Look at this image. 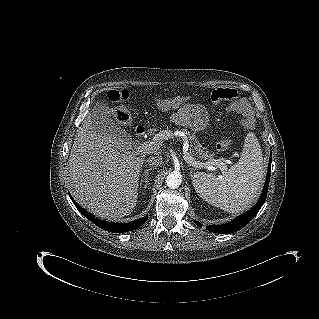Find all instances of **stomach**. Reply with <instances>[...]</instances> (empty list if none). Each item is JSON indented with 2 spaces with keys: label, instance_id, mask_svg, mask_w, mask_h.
Segmentation results:
<instances>
[{
  "label": "stomach",
  "instance_id": "stomach-1",
  "mask_svg": "<svg viewBox=\"0 0 319 319\" xmlns=\"http://www.w3.org/2000/svg\"><path fill=\"white\" fill-rule=\"evenodd\" d=\"M183 124L195 131H202L208 125V113L204 108L188 107L183 113Z\"/></svg>",
  "mask_w": 319,
  "mask_h": 319
}]
</instances>
